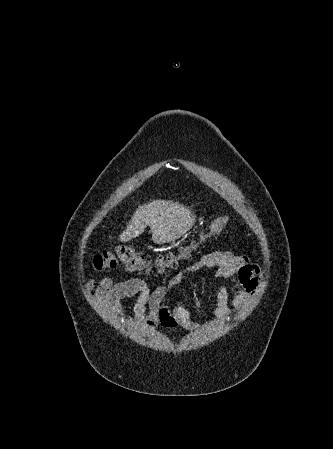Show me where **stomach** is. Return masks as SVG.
Returning <instances> with one entry per match:
<instances>
[{
    "instance_id": "1",
    "label": "stomach",
    "mask_w": 333,
    "mask_h": 449,
    "mask_svg": "<svg viewBox=\"0 0 333 449\" xmlns=\"http://www.w3.org/2000/svg\"><path fill=\"white\" fill-rule=\"evenodd\" d=\"M170 242L174 243V242H175V240H172V241H170Z\"/></svg>"
}]
</instances>
